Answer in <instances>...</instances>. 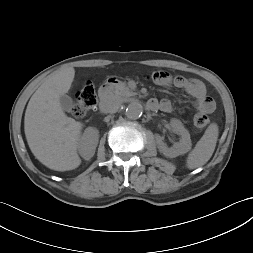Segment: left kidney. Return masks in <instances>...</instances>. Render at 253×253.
Masks as SVG:
<instances>
[{
    "label": "left kidney",
    "instance_id": "left-kidney-1",
    "mask_svg": "<svg viewBox=\"0 0 253 253\" xmlns=\"http://www.w3.org/2000/svg\"><path fill=\"white\" fill-rule=\"evenodd\" d=\"M170 124L172 130L181 136L180 141L175 143L172 147L168 148L162 141V138L157 135L156 143L160 153H162L165 157L174 158L187 153L191 149L192 144L190 134L188 130L184 128L181 121L172 119Z\"/></svg>",
    "mask_w": 253,
    "mask_h": 253
}]
</instances>
